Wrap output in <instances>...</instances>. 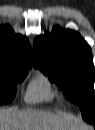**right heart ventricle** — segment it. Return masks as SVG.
<instances>
[{
	"instance_id": "1",
	"label": "right heart ventricle",
	"mask_w": 95,
	"mask_h": 130,
	"mask_svg": "<svg viewBox=\"0 0 95 130\" xmlns=\"http://www.w3.org/2000/svg\"><path fill=\"white\" fill-rule=\"evenodd\" d=\"M56 96L48 78L43 75H37L28 85L25 99L29 103L50 102Z\"/></svg>"
}]
</instances>
